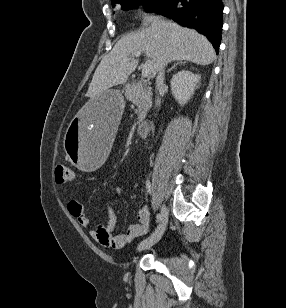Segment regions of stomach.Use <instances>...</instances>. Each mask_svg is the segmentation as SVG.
I'll return each mask as SVG.
<instances>
[{
  "mask_svg": "<svg viewBox=\"0 0 286 308\" xmlns=\"http://www.w3.org/2000/svg\"><path fill=\"white\" fill-rule=\"evenodd\" d=\"M124 85H109L96 97H88L84 109H79L71 122H66L64 148L77 171H98L109 161L114 148V133L121 129Z\"/></svg>",
  "mask_w": 286,
  "mask_h": 308,
  "instance_id": "obj_1",
  "label": "stomach"
}]
</instances>
